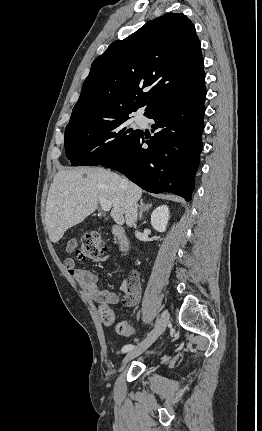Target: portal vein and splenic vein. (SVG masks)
I'll use <instances>...</instances> for the list:
<instances>
[{"mask_svg": "<svg viewBox=\"0 0 262 431\" xmlns=\"http://www.w3.org/2000/svg\"><path fill=\"white\" fill-rule=\"evenodd\" d=\"M101 208L103 211H110V209L112 208V203L104 198H100L99 199Z\"/></svg>", "mask_w": 262, "mask_h": 431, "instance_id": "obj_1", "label": "portal vein and splenic vein"}]
</instances>
